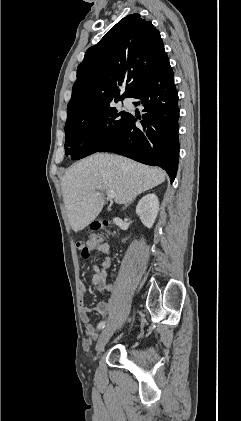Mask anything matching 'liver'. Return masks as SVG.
<instances>
[{
    "instance_id": "obj_1",
    "label": "liver",
    "mask_w": 241,
    "mask_h": 421,
    "mask_svg": "<svg viewBox=\"0 0 241 421\" xmlns=\"http://www.w3.org/2000/svg\"><path fill=\"white\" fill-rule=\"evenodd\" d=\"M165 181V173L122 156L96 153L71 166L62 179L63 201L70 226L79 232L104 206L102 191L115 192V202L127 204L138 194Z\"/></svg>"
}]
</instances>
